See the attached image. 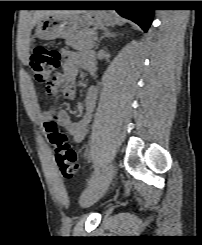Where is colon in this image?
Wrapping results in <instances>:
<instances>
[{
    "label": "colon",
    "instance_id": "5ec220e1",
    "mask_svg": "<svg viewBox=\"0 0 202 245\" xmlns=\"http://www.w3.org/2000/svg\"><path fill=\"white\" fill-rule=\"evenodd\" d=\"M63 58L59 50L45 46L37 47L31 54L30 63L34 80L44 84V94L50 98L56 94L57 84L54 72L58 69ZM45 130L53 146L57 165L65 178L75 177L79 173L76 152L66 143V136L59 130L54 118L44 123Z\"/></svg>",
    "mask_w": 202,
    "mask_h": 245
}]
</instances>
